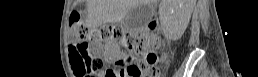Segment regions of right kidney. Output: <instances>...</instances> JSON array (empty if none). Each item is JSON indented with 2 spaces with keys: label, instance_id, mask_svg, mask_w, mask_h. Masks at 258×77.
<instances>
[{
  "label": "right kidney",
  "instance_id": "ca27d5eb",
  "mask_svg": "<svg viewBox=\"0 0 258 77\" xmlns=\"http://www.w3.org/2000/svg\"><path fill=\"white\" fill-rule=\"evenodd\" d=\"M161 8L164 11L169 10V18L171 19V22L167 24V36L169 39L178 40L183 35L187 25L184 26L181 22L175 19V8L172 6H167L166 3L163 4Z\"/></svg>",
  "mask_w": 258,
  "mask_h": 77
}]
</instances>
